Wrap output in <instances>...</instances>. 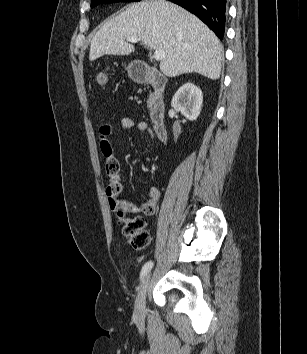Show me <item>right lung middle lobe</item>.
Listing matches in <instances>:
<instances>
[{
    "label": "right lung middle lobe",
    "instance_id": "dd1d6c3e",
    "mask_svg": "<svg viewBox=\"0 0 307 354\" xmlns=\"http://www.w3.org/2000/svg\"><path fill=\"white\" fill-rule=\"evenodd\" d=\"M136 2L140 0H91V8L95 7L98 5L100 2Z\"/></svg>",
    "mask_w": 307,
    "mask_h": 354
}]
</instances>
